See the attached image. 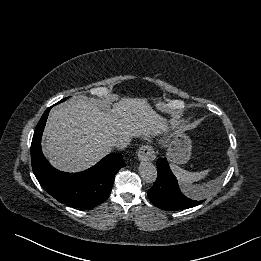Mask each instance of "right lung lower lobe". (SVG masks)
I'll return each mask as SVG.
<instances>
[{"instance_id": "right-lung-lower-lobe-1", "label": "right lung lower lobe", "mask_w": 261, "mask_h": 261, "mask_svg": "<svg viewBox=\"0 0 261 261\" xmlns=\"http://www.w3.org/2000/svg\"><path fill=\"white\" fill-rule=\"evenodd\" d=\"M50 109L51 107L44 112L33 135L31 144L33 172L44 190L59 202L81 209L95 207L107 199L114 183V176L126 166L123 156L120 153L109 154L93 167L79 173L58 171L46 160L40 144Z\"/></svg>"}]
</instances>
